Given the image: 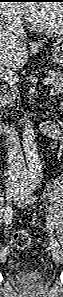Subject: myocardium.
Listing matches in <instances>:
<instances>
[{"label":"myocardium","mask_w":63,"mask_h":297,"mask_svg":"<svg viewBox=\"0 0 63 297\" xmlns=\"http://www.w3.org/2000/svg\"><path fill=\"white\" fill-rule=\"evenodd\" d=\"M59 8H60V22L57 26H48V25H45L43 23H39V22H35L33 20V24H34V27L36 29H38L39 31L41 32H44V33H47V34H60L62 33L63 31V7L62 5H59Z\"/></svg>","instance_id":"f54148a6"}]
</instances>
